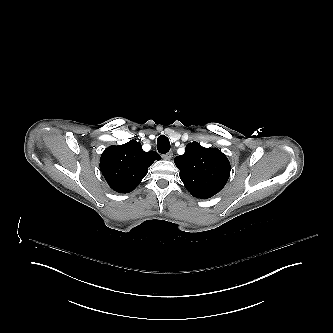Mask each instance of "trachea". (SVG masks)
<instances>
[{
    "label": "trachea",
    "mask_w": 333,
    "mask_h": 333,
    "mask_svg": "<svg viewBox=\"0 0 333 333\" xmlns=\"http://www.w3.org/2000/svg\"><path fill=\"white\" fill-rule=\"evenodd\" d=\"M157 149L161 154H166L170 150L169 139L165 135H160L157 141Z\"/></svg>",
    "instance_id": "obj_1"
}]
</instances>
